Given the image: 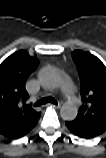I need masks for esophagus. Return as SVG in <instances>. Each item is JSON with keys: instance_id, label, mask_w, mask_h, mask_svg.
<instances>
[{"instance_id": "obj_1", "label": "esophagus", "mask_w": 106, "mask_h": 158, "mask_svg": "<svg viewBox=\"0 0 106 158\" xmlns=\"http://www.w3.org/2000/svg\"><path fill=\"white\" fill-rule=\"evenodd\" d=\"M48 105L51 107L60 108L62 106V102H58L57 104L48 103Z\"/></svg>"}]
</instances>
